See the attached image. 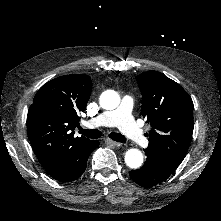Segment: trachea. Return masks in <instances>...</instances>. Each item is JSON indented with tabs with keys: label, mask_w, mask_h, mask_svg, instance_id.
Returning a JSON list of instances; mask_svg holds the SVG:
<instances>
[{
	"label": "trachea",
	"mask_w": 221,
	"mask_h": 221,
	"mask_svg": "<svg viewBox=\"0 0 221 221\" xmlns=\"http://www.w3.org/2000/svg\"><path fill=\"white\" fill-rule=\"evenodd\" d=\"M79 133L92 139H97L102 136V132L98 129H83L80 126H78ZM108 136L113 139L116 142H125L126 138L121 134L117 132H111L108 134Z\"/></svg>",
	"instance_id": "trachea-1"
}]
</instances>
